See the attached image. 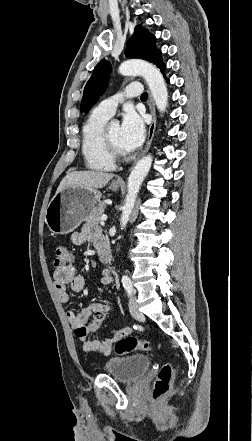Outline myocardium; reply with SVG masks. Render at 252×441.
Returning <instances> with one entry per match:
<instances>
[{
  "label": "myocardium",
  "mask_w": 252,
  "mask_h": 441,
  "mask_svg": "<svg viewBox=\"0 0 252 441\" xmlns=\"http://www.w3.org/2000/svg\"><path fill=\"white\" fill-rule=\"evenodd\" d=\"M102 144L106 155L114 162L119 161L123 158L124 154L122 151L117 149L111 142L108 134V126H105L102 133Z\"/></svg>",
  "instance_id": "1"
}]
</instances>
